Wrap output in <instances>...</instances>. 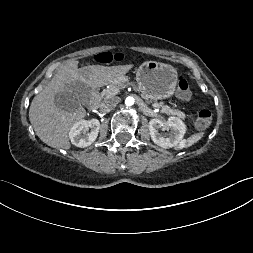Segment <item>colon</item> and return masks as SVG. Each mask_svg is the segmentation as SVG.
<instances>
[{"instance_id": "5ec220e1", "label": "colon", "mask_w": 253, "mask_h": 253, "mask_svg": "<svg viewBox=\"0 0 253 253\" xmlns=\"http://www.w3.org/2000/svg\"><path fill=\"white\" fill-rule=\"evenodd\" d=\"M98 63L106 64L114 59V56L109 52H101L94 56ZM177 92L180 97L189 99L191 97V89L189 82L182 76L177 80ZM212 122V113L209 109H200L195 117V125L199 129L208 127Z\"/></svg>"}]
</instances>
